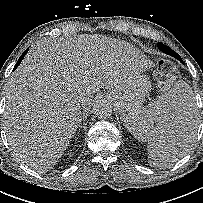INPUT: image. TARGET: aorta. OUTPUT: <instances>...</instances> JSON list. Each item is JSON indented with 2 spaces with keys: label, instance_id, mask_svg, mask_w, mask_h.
<instances>
[{
  "label": "aorta",
  "instance_id": "1",
  "mask_svg": "<svg viewBox=\"0 0 203 203\" xmlns=\"http://www.w3.org/2000/svg\"><path fill=\"white\" fill-rule=\"evenodd\" d=\"M93 112L100 119L109 118L112 115V105L108 101H99L94 105Z\"/></svg>",
  "mask_w": 203,
  "mask_h": 203
}]
</instances>
